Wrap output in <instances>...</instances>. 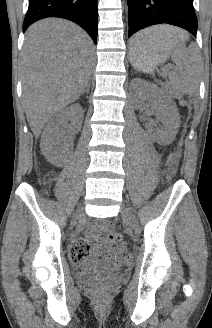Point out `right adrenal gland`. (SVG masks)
Segmentation results:
<instances>
[{
    "mask_svg": "<svg viewBox=\"0 0 212 328\" xmlns=\"http://www.w3.org/2000/svg\"><path fill=\"white\" fill-rule=\"evenodd\" d=\"M89 91H90V83L87 85V87H86V89L84 90V92L83 93H89Z\"/></svg>",
    "mask_w": 212,
    "mask_h": 328,
    "instance_id": "1",
    "label": "right adrenal gland"
}]
</instances>
